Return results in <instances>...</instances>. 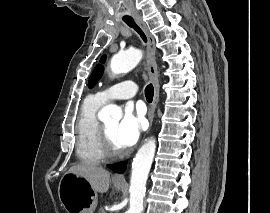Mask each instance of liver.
Segmentation results:
<instances>
[{
  "mask_svg": "<svg viewBox=\"0 0 270 213\" xmlns=\"http://www.w3.org/2000/svg\"><path fill=\"white\" fill-rule=\"evenodd\" d=\"M67 173L83 177L95 193H105L109 189L110 173L100 166L83 162L72 166Z\"/></svg>",
  "mask_w": 270,
  "mask_h": 213,
  "instance_id": "obj_1",
  "label": "liver"
}]
</instances>
